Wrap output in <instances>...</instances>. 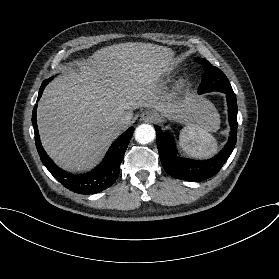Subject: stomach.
I'll list each match as a JSON object with an SVG mask.
<instances>
[{"label": "stomach", "mask_w": 279, "mask_h": 279, "mask_svg": "<svg viewBox=\"0 0 279 279\" xmlns=\"http://www.w3.org/2000/svg\"><path fill=\"white\" fill-rule=\"evenodd\" d=\"M158 117H159V122H161L163 120V116L159 113H157Z\"/></svg>", "instance_id": "1"}]
</instances>
